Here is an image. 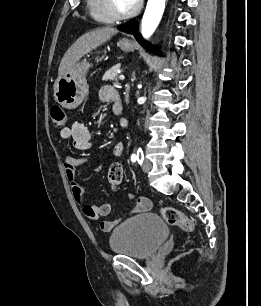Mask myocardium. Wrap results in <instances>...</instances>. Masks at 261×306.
Wrapping results in <instances>:
<instances>
[{
    "instance_id": "obj_1",
    "label": "myocardium",
    "mask_w": 261,
    "mask_h": 306,
    "mask_svg": "<svg viewBox=\"0 0 261 306\" xmlns=\"http://www.w3.org/2000/svg\"><path fill=\"white\" fill-rule=\"evenodd\" d=\"M104 4H105V8L108 14L114 20H123V19H128L130 17H133L140 11L142 7V0H138L136 5L127 12H119L115 7L114 0H104Z\"/></svg>"
}]
</instances>
